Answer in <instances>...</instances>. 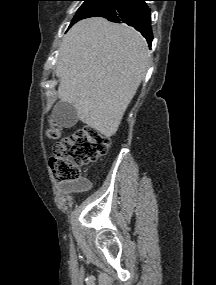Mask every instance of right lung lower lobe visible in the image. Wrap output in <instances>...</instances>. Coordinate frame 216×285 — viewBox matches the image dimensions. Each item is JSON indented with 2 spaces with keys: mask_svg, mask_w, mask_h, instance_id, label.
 I'll return each mask as SVG.
<instances>
[{
  "mask_svg": "<svg viewBox=\"0 0 216 285\" xmlns=\"http://www.w3.org/2000/svg\"><path fill=\"white\" fill-rule=\"evenodd\" d=\"M147 0H118L113 6L95 16L104 17L112 22L126 23L138 30L148 41L149 47L153 40L150 9Z\"/></svg>",
  "mask_w": 216,
  "mask_h": 285,
  "instance_id": "right-lung-lower-lobe-1",
  "label": "right lung lower lobe"
}]
</instances>
